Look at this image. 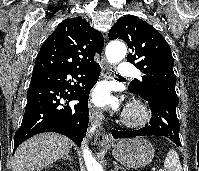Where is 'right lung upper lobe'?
Wrapping results in <instances>:
<instances>
[{"instance_id": "1", "label": "right lung upper lobe", "mask_w": 199, "mask_h": 171, "mask_svg": "<svg viewBox=\"0 0 199 171\" xmlns=\"http://www.w3.org/2000/svg\"><path fill=\"white\" fill-rule=\"evenodd\" d=\"M104 40L82 17L62 21L46 39L37 56L34 71L72 70L94 62Z\"/></svg>"}]
</instances>
